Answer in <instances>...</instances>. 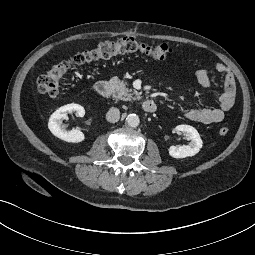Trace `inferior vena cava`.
<instances>
[{
  "label": "inferior vena cava",
  "mask_w": 255,
  "mask_h": 255,
  "mask_svg": "<svg viewBox=\"0 0 255 255\" xmlns=\"http://www.w3.org/2000/svg\"><path fill=\"white\" fill-rule=\"evenodd\" d=\"M120 118L119 109L112 107L106 114V119L108 122L115 123Z\"/></svg>",
  "instance_id": "obj_1"
}]
</instances>
